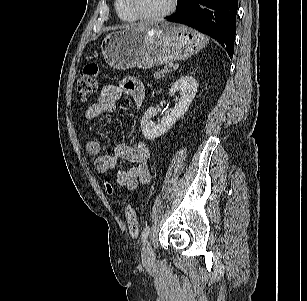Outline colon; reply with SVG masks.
<instances>
[{
	"instance_id": "obj_1",
	"label": "colon",
	"mask_w": 307,
	"mask_h": 301,
	"mask_svg": "<svg viewBox=\"0 0 307 301\" xmlns=\"http://www.w3.org/2000/svg\"><path fill=\"white\" fill-rule=\"evenodd\" d=\"M99 85V67L95 63L87 64L84 67L83 73L77 80V93L86 100L94 96L97 92ZM106 190L109 194L114 193L113 186L106 182ZM124 215L128 223V228L131 234H137L139 230L138 220L135 210L127 203L123 206Z\"/></svg>"
}]
</instances>
